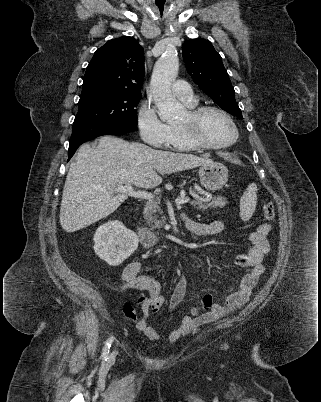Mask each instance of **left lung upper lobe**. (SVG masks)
Here are the masks:
<instances>
[{
    "instance_id": "1",
    "label": "left lung upper lobe",
    "mask_w": 321,
    "mask_h": 402,
    "mask_svg": "<svg viewBox=\"0 0 321 402\" xmlns=\"http://www.w3.org/2000/svg\"><path fill=\"white\" fill-rule=\"evenodd\" d=\"M182 55L188 73L200 89L223 110L242 119L229 75L213 45L205 39H190L183 43Z\"/></svg>"
}]
</instances>
